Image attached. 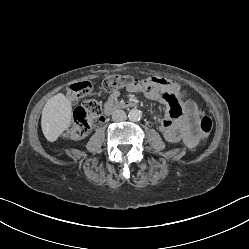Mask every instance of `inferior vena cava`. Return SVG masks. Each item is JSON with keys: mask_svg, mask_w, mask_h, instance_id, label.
<instances>
[{"mask_svg": "<svg viewBox=\"0 0 249 249\" xmlns=\"http://www.w3.org/2000/svg\"><path fill=\"white\" fill-rule=\"evenodd\" d=\"M126 119H127V115L125 111L123 110H115L112 113V120L115 122H122V121H125Z\"/></svg>", "mask_w": 249, "mask_h": 249, "instance_id": "inferior-vena-cava-1", "label": "inferior vena cava"}]
</instances>
